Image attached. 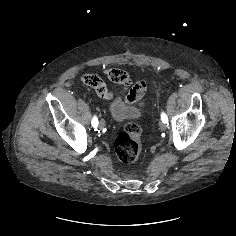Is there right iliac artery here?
Wrapping results in <instances>:
<instances>
[{
	"label": "right iliac artery",
	"instance_id": "82829eb1",
	"mask_svg": "<svg viewBox=\"0 0 236 236\" xmlns=\"http://www.w3.org/2000/svg\"><path fill=\"white\" fill-rule=\"evenodd\" d=\"M91 124L93 127L98 126V118L96 116L93 117Z\"/></svg>",
	"mask_w": 236,
	"mask_h": 236
}]
</instances>
